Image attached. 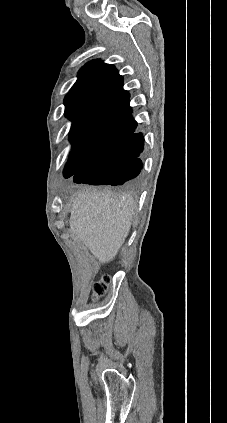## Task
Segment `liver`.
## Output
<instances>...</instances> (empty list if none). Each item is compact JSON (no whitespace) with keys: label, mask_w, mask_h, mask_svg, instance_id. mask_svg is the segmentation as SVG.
<instances>
[{"label":"liver","mask_w":227,"mask_h":423,"mask_svg":"<svg viewBox=\"0 0 227 423\" xmlns=\"http://www.w3.org/2000/svg\"><path fill=\"white\" fill-rule=\"evenodd\" d=\"M133 210L130 194L80 190L68 219L70 231L98 261L108 263L116 257L131 229Z\"/></svg>","instance_id":"obj_1"}]
</instances>
